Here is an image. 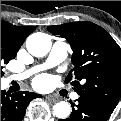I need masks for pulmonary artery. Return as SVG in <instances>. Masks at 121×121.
I'll use <instances>...</instances> for the list:
<instances>
[{
    "instance_id": "obj_1",
    "label": "pulmonary artery",
    "mask_w": 121,
    "mask_h": 121,
    "mask_svg": "<svg viewBox=\"0 0 121 121\" xmlns=\"http://www.w3.org/2000/svg\"><path fill=\"white\" fill-rule=\"evenodd\" d=\"M71 49L68 43L64 41H56L53 43V46L46 58V60L40 64L37 65L29 70L24 71L23 73L13 76L12 79L15 80H23L25 78H28L30 75H32L34 72L39 71V70H45L52 68L54 66L59 65L62 63L64 60L67 59ZM74 99L78 98V95L74 93L72 95Z\"/></svg>"
}]
</instances>
